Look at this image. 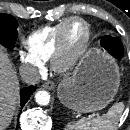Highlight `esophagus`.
<instances>
[{
    "mask_svg": "<svg viewBox=\"0 0 130 130\" xmlns=\"http://www.w3.org/2000/svg\"><path fill=\"white\" fill-rule=\"evenodd\" d=\"M42 86L45 89L52 90V89H54L55 85H54V83L52 81H46V82L43 83Z\"/></svg>",
    "mask_w": 130,
    "mask_h": 130,
    "instance_id": "1",
    "label": "esophagus"
}]
</instances>
